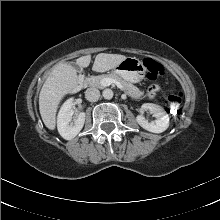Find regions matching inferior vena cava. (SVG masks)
<instances>
[{"label":"inferior vena cava","mask_w":220,"mask_h":220,"mask_svg":"<svg viewBox=\"0 0 220 220\" xmlns=\"http://www.w3.org/2000/svg\"><path fill=\"white\" fill-rule=\"evenodd\" d=\"M100 97V91L97 88H88L85 92V98L88 101L95 102Z\"/></svg>","instance_id":"602c4592"}]
</instances>
